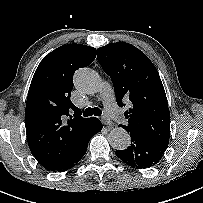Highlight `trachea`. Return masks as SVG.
<instances>
[{"instance_id":"1","label":"trachea","mask_w":203,"mask_h":203,"mask_svg":"<svg viewBox=\"0 0 203 203\" xmlns=\"http://www.w3.org/2000/svg\"><path fill=\"white\" fill-rule=\"evenodd\" d=\"M101 114H102V111L98 107H94V108L88 107L85 109L83 116L85 117L92 116V115L101 116Z\"/></svg>"}]
</instances>
